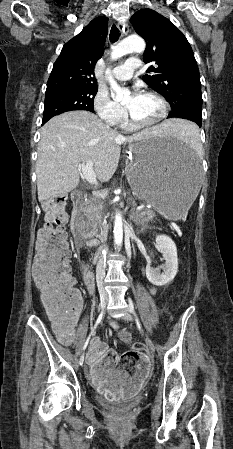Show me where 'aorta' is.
Wrapping results in <instances>:
<instances>
[{
    "label": "aorta",
    "mask_w": 233,
    "mask_h": 449,
    "mask_svg": "<svg viewBox=\"0 0 233 449\" xmlns=\"http://www.w3.org/2000/svg\"><path fill=\"white\" fill-rule=\"evenodd\" d=\"M145 50V42L138 36H130L112 48L111 59H118L129 53H142ZM107 80L111 88V96L115 101H120L130 94L128 89H122L110 75V71H106ZM114 242L117 247L123 242V219L121 212H117L114 221Z\"/></svg>",
    "instance_id": "1"
}]
</instances>
